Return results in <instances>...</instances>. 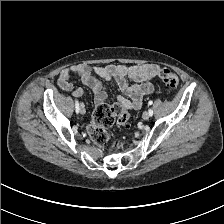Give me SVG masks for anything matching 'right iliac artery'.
<instances>
[{
  "label": "right iliac artery",
  "instance_id": "obj_1",
  "mask_svg": "<svg viewBox=\"0 0 224 224\" xmlns=\"http://www.w3.org/2000/svg\"><path fill=\"white\" fill-rule=\"evenodd\" d=\"M75 108H76V113L78 114L80 111V107H79V102L78 100H75Z\"/></svg>",
  "mask_w": 224,
  "mask_h": 224
}]
</instances>
